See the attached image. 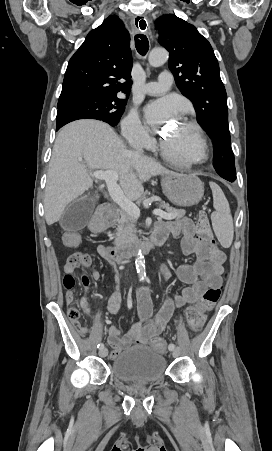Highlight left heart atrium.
Here are the masks:
<instances>
[{
  "mask_svg": "<svg viewBox=\"0 0 272 451\" xmlns=\"http://www.w3.org/2000/svg\"><path fill=\"white\" fill-rule=\"evenodd\" d=\"M178 111V107L169 100L163 98L151 103L147 108V122L154 130H160L171 122V118Z\"/></svg>",
  "mask_w": 272,
  "mask_h": 451,
  "instance_id": "39dd6f15",
  "label": "left heart atrium"
}]
</instances>
